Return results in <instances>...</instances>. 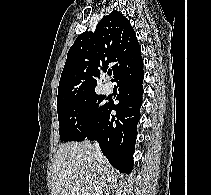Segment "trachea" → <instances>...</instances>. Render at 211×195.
I'll list each match as a JSON object with an SVG mask.
<instances>
[{"mask_svg":"<svg viewBox=\"0 0 211 195\" xmlns=\"http://www.w3.org/2000/svg\"><path fill=\"white\" fill-rule=\"evenodd\" d=\"M109 75H112V72H108Z\"/></svg>","mask_w":211,"mask_h":195,"instance_id":"1","label":"trachea"}]
</instances>
